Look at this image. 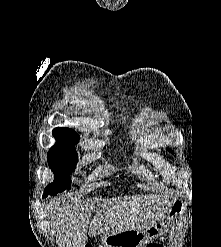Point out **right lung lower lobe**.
Listing matches in <instances>:
<instances>
[{
    "mask_svg": "<svg viewBox=\"0 0 221 247\" xmlns=\"http://www.w3.org/2000/svg\"><path fill=\"white\" fill-rule=\"evenodd\" d=\"M47 195H48V194L44 193V194H43V198H45Z\"/></svg>",
    "mask_w": 221,
    "mask_h": 247,
    "instance_id": "1",
    "label": "right lung lower lobe"
}]
</instances>
